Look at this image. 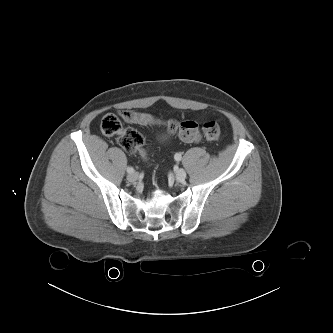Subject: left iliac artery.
Listing matches in <instances>:
<instances>
[{
	"instance_id": "obj_1",
	"label": "left iliac artery",
	"mask_w": 333,
	"mask_h": 333,
	"mask_svg": "<svg viewBox=\"0 0 333 333\" xmlns=\"http://www.w3.org/2000/svg\"><path fill=\"white\" fill-rule=\"evenodd\" d=\"M174 158H175L176 161H180L182 159V156H181L180 153H176Z\"/></svg>"
}]
</instances>
